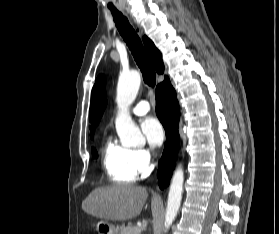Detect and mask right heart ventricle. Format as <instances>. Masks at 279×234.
Segmentation results:
<instances>
[{
  "label": "right heart ventricle",
  "mask_w": 279,
  "mask_h": 234,
  "mask_svg": "<svg viewBox=\"0 0 279 234\" xmlns=\"http://www.w3.org/2000/svg\"><path fill=\"white\" fill-rule=\"evenodd\" d=\"M102 164L113 183L129 184L137 180L139 171L134 160V150L109 138L102 149Z\"/></svg>",
  "instance_id": "obj_1"
}]
</instances>
